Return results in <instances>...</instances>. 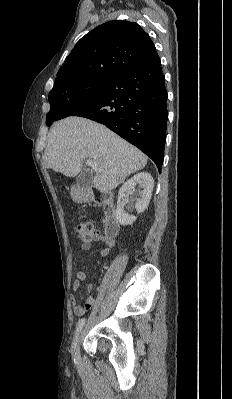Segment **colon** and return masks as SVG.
<instances>
[{
  "mask_svg": "<svg viewBox=\"0 0 232 399\" xmlns=\"http://www.w3.org/2000/svg\"><path fill=\"white\" fill-rule=\"evenodd\" d=\"M94 231L95 228L92 224L78 220L77 223H74V231H71V236L76 237V239H84V241H89V239H93Z\"/></svg>",
  "mask_w": 232,
  "mask_h": 399,
  "instance_id": "5ec220e1",
  "label": "colon"
}]
</instances>
